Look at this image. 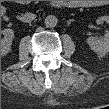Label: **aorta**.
Returning a JSON list of instances; mask_svg holds the SVG:
<instances>
[{"label": "aorta", "mask_w": 109, "mask_h": 109, "mask_svg": "<svg viewBox=\"0 0 109 109\" xmlns=\"http://www.w3.org/2000/svg\"><path fill=\"white\" fill-rule=\"evenodd\" d=\"M44 23H45L46 27L53 28L57 25L58 19L54 15H49L45 18Z\"/></svg>", "instance_id": "762f6f07"}]
</instances>
